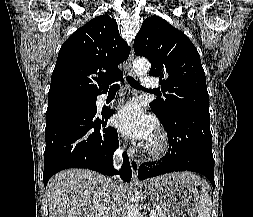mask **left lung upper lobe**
Wrapping results in <instances>:
<instances>
[{
  "label": "left lung upper lobe",
  "mask_w": 253,
  "mask_h": 217,
  "mask_svg": "<svg viewBox=\"0 0 253 217\" xmlns=\"http://www.w3.org/2000/svg\"><path fill=\"white\" fill-rule=\"evenodd\" d=\"M134 51L151 62L149 75L160 78L165 99L150 103L160 120L179 111L210 115L206 77L200 56L181 31L158 16L144 20L134 40Z\"/></svg>",
  "instance_id": "obj_1"
}]
</instances>
